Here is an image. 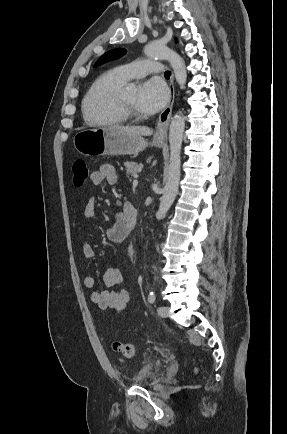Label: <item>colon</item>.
<instances>
[{
	"instance_id": "colon-1",
	"label": "colon",
	"mask_w": 287,
	"mask_h": 434,
	"mask_svg": "<svg viewBox=\"0 0 287 434\" xmlns=\"http://www.w3.org/2000/svg\"><path fill=\"white\" fill-rule=\"evenodd\" d=\"M73 172V185L81 187L88 178L89 171L87 164L84 160H75L72 165ZM113 350L125 357L132 358L136 354V347L132 344L115 341L113 343ZM194 372H197V368H194Z\"/></svg>"
}]
</instances>
